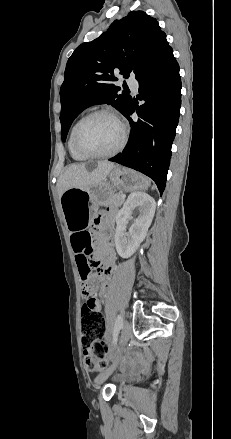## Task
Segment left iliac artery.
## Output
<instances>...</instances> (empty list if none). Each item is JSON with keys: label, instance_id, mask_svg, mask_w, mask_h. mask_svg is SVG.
I'll list each match as a JSON object with an SVG mask.
<instances>
[{"label": "left iliac artery", "instance_id": "left-iliac-artery-1", "mask_svg": "<svg viewBox=\"0 0 231 439\" xmlns=\"http://www.w3.org/2000/svg\"><path fill=\"white\" fill-rule=\"evenodd\" d=\"M122 328V318L120 316H118L115 326H114V331H113V344L116 345L117 343V337H118V333L120 331V329Z\"/></svg>", "mask_w": 231, "mask_h": 439}]
</instances>
